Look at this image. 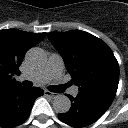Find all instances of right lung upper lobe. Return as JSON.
Returning <instances> with one entry per match:
<instances>
[{"label":"right lung upper lobe","instance_id":"obj_1","mask_svg":"<svg viewBox=\"0 0 128 128\" xmlns=\"http://www.w3.org/2000/svg\"><path fill=\"white\" fill-rule=\"evenodd\" d=\"M46 33H30L17 29L0 30V95L20 86L13 77L19 74L25 53L44 39Z\"/></svg>","mask_w":128,"mask_h":128}]
</instances>
